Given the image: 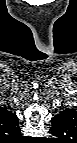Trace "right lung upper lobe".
<instances>
[{
	"label": "right lung upper lobe",
	"mask_w": 77,
	"mask_h": 143,
	"mask_svg": "<svg viewBox=\"0 0 77 143\" xmlns=\"http://www.w3.org/2000/svg\"><path fill=\"white\" fill-rule=\"evenodd\" d=\"M0 129L3 134L15 136L20 134L18 118L6 108L0 109Z\"/></svg>",
	"instance_id": "1"
}]
</instances>
